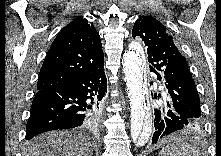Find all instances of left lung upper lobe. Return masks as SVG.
<instances>
[{
	"instance_id": "obj_1",
	"label": "left lung upper lobe",
	"mask_w": 221,
	"mask_h": 156,
	"mask_svg": "<svg viewBox=\"0 0 221 156\" xmlns=\"http://www.w3.org/2000/svg\"><path fill=\"white\" fill-rule=\"evenodd\" d=\"M132 36H140L147 46L150 70L158 72L167 88V96L182 113L201 121L200 98L188 70L187 61L178 51L173 36L152 16L136 20Z\"/></svg>"
}]
</instances>
